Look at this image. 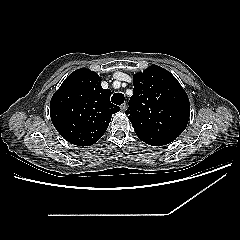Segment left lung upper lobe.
<instances>
[{
  "label": "left lung upper lobe",
  "mask_w": 240,
  "mask_h": 240,
  "mask_svg": "<svg viewBox=\"0 0 240 240\" xmlns=\"http://www.w3.org/2000/svg\"><path fill=\"white\" fill-rule=\"evenodd\" d=\"M134 93L126 114L144 142L163 138L175 140L186 128L190 103L177 79L152 65L133 77Z\"/></svg>",
  "instance_id": "1"
}]
</instances>
